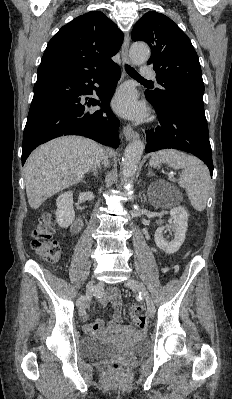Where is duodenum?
<instances>
[{
    "mask_svg": "<svg viewBox=\"0 0 232 399\" xmlns=\"http://www.w3.org/2000/svg\"><path fill=\"white\" fill-rule=\"evenodd\" d=\"M83 227V219L81 216H78L72 224V231L74 233H78Z\"/></svg>",
    "mask_w": 232,
    "mask_h": 399,
    "instance_id": "duodenum-1",
    "label": "duodenum"
}]
</instances>
